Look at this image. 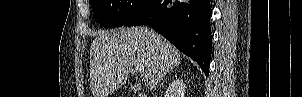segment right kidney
I'll use <instances>...</instances> for the list:
<instances>
[{
  "instance_id": "ca27d5eb",
  "label": "right kidney",
  "mask_w": 302,
  "mask_h": 97,
  "mask_svg": "<svg viewBox=\"0 0 302 97\" xmlns=\"http://www.w3.org/2000/svg\"><path fill=\"white\" fill-rule=\"evenodd\" d=\"M185 84L182 80L176 79L169 85L167 94L175 97H184Z\"/></svg>"
}]
</instances>
